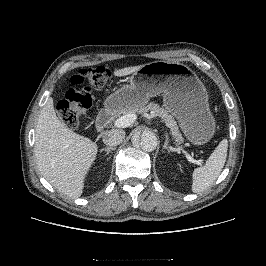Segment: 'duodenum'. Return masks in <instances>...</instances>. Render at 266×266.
Returning <instances> with one entry per match:
<instances>
[{
    "label": "duodenum",
    "instance_id": "410a0bca",
    "mask_svg": "<svg viewBox=\"0 0 266 266\" xmlns=\"http://www.w3.org/2000/svg\"><path fill=\"white\" fill-rule=\"evenodd\" d=\"M115 115V109L107 106L102 109L96 117V128L98 131H103L112 121Z\"/></svg>",
    "mask_w": 266,
    "mask_h": 266
}]
</instances>
